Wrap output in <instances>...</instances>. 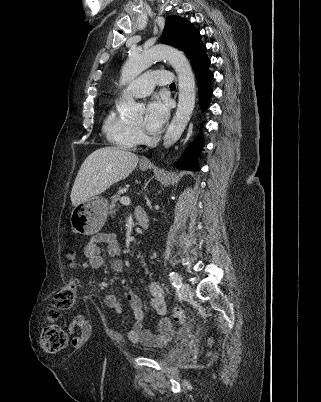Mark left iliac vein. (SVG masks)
<instances>
[{"label":"left iliac vein","instance_id":"obj_1","mask_svg":"<svg viewBox=\"0 0 321 402\" xmlns=\"http://www.w3.org/2000/svg\"><path fill=\"white\" fill-rule=\"evenodd\" d=\"M181 294L187 300H190L193 297V291L191 287L186 283L182 284L181 286Z\"/></svg>","mask_w":321,"mask_h":402}]
</instances>
